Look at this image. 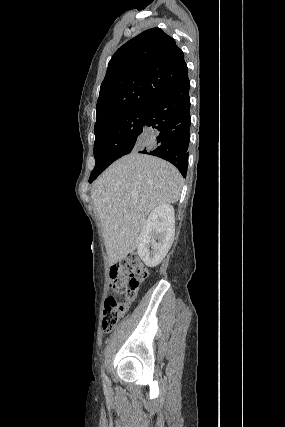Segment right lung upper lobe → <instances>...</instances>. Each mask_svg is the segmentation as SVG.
<instances>
[{
	"mask_svg": "<svg viewBox=\"0 0 285 427\" xmlns=\"http://www.w3.org/2000/svg\"><path fill=\"white\" fill-rule=\"evenodd\" d=\"M188 77L184 54L160 28L121 46L109 61L97 101L95 127L123 112L146 106Z\"/></svg>",
	"mask_w": 285,
	"mask_h": 427,
	"instance_id": "obj_1",
	"label": "right lung upper lobe"
}]
</instances>
